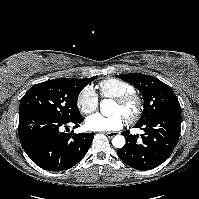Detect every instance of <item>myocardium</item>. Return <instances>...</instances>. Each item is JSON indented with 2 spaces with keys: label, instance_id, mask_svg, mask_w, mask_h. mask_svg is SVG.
<instances>
[{
  "label": "myocardium",
  "instance_id": "obj_1",
  "mask_svg": "<svg viewBox=\"0 0 199 199\" xmlns=\"http://www.w3.org/2000/svg\"><path fill=\"white\" fill-rule=\"evenodd\" d=\"M115 102L125 109V117L128 121H136L143 111V100L136 92H131L115 98Z\"/></svg>",
  "mask_w": 199,
  "mask_h": 199
}]
</instances>
